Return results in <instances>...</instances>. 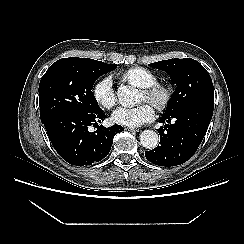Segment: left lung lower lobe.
Here are the masks:
<instances>
[{
  "mask_svg": "<svg viewBox=\"0 0 244 244\" xmlns=\"http://www.w3.org/2000/svg\"><path fill=\"white\" fill-rule=\"evenodd\" d=\"M214 105L195 103L171 115H163L160 122L175 123L162 126L159 145L145 152L148 161L159 166H176L189 160L197 151L212 119Z\"/></svg>",
  "mask_w": 244,
  "mask_h": 244,
  "instance_id": "0a47b994",
  "label": "left lung lower lobe"
}]
</instances>
